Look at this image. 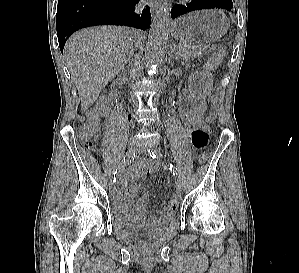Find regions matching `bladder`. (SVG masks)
<instances>
[{
	"label": "bladder",
	"mask_w": 299,
	"mask_h": 273,
	"mask_svg": "<svg viewBox=\"0 0 299 273\" xmlns=\"http://www.w3.org/2000/svg\"><path fill=\"white\" fill-rule=\"evenodd\" d=\"M137 219L138 218L133 216V215L123 214L117 209L113 210V223H114V225H116L118 227H122V228L129 227L132 224H134ZM162 224L166 225V226L167 225H174L175 224V218L173 216H170L166 219H163Z\"/></svg>",
	"instance_id": "obj_1"
}]
</instances>
